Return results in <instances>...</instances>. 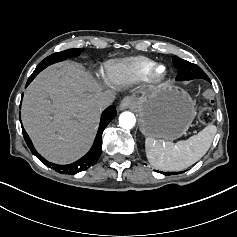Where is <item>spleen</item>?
Masks as SVG:
<instances>
[{"mask_svg":"<svg viewBox=\"0 0 237 237\" xmlns=\"http://www.w3.org/2000/svg\"><path fill=\"white\" fill-rule=\"evenodd\" d=\"M217 132L215 125H208L197 135L173 143L145 140V151L149 163L163 171H181L200 160L209 150Z\"/></svg>","mask_w":237,"mask_h":237,"instance_id":"3e777b00","label":"spleen"}]
</instances>
